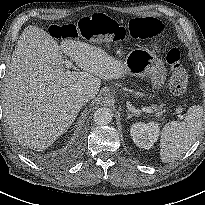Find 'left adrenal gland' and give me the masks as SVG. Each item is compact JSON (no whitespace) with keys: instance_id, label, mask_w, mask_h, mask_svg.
I'll list each match as a JSON object with an SVG mask.
<instances>
[{"instance_id":"obj_1","label":"left adrenal gland","mask_w":205,"mask_h":205,"mask_svg":"<svg viewBox=\"0 0 205 205\" xmlns=\"http://www.w3.org/2000/svg\"><path fill=\"white\" fill-rule=\"evenodd\" d=\"M127 111V119H130L132 118L133 116H138V114H133V113H130V111L126 110Z\"/></svg>"}]
</instances>
